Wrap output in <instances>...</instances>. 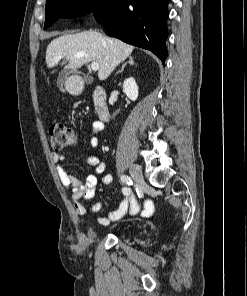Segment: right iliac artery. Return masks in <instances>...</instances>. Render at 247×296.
I'll use <instances>...</instances> for the list:
<instances>
[{
	"instance_id": "obj_1",
	"label": "right iliac artery",
	"mask_w": 247,
	"mask_h": 296,
	"mask_svg": "<svg viewBox=\"0 0 247 296\" xmlns=\"http://www.w3.org/2000/svg\"><path fill=\"white\" fill-rule=\"evenodd\" d=\"M121 181H122L123 183L128 184V185H132V184H133V181H132L131 178H130L129 176H127V175H122V176H121Z\"/></svg>"
}]
</instances>
